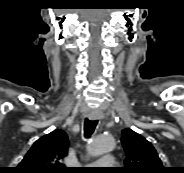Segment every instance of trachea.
<instances>
[{
    "instance_id": "1",
    "label": "trachea",
    "mask_w": 184,
    "mask_h": 173,
    "mask_svg": "<svg viewBox=\"0 0 184 173\" xmlns=\"http://www.w3.org/2000/svg\"><path fill=\"white\" fill-rule=\"evenodd\" d=\"M97 123H98L97 120H89V119L85 120L84 136L86 138H89L93 134V132H94L96 126H97Z\"/></svg>"
}]
</instances>
